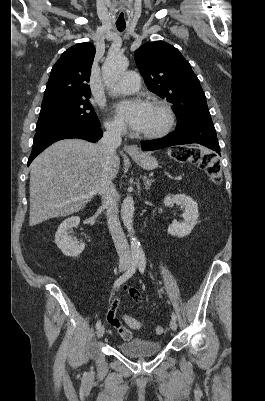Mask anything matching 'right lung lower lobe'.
<instances>
[{"mask_svg":"<svg viewBox=\"0 0 265 401\" xmlns=\"http://www.w3.org/2000/svg\"><path fill=\"white\" fill-rule=\"evenodd\" d=\"M102 137L100 126L82 124H53L36 129L32 152L28 165L33 159L52 143L67 139L80 138L90 142H97Z\"/></svg>","mask_w":265,"mask_h":401,"instance_id":"obj_1","label":"right lung lower lobe"}]
</instances>
